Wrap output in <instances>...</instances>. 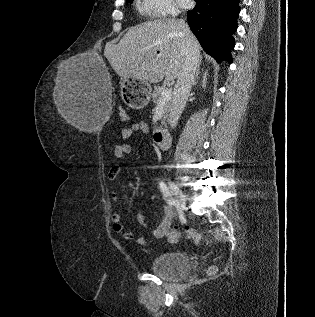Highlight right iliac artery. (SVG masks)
I'll return each instance as SVG.
<instances>
[{
	"instance_id": "obj_1",
	"label": "right iliac artery",
	"mask_w": 315,
	"mask_h": 317,
	"mask_svg": "<svg viewBox=\"0 0 315 317\" xmlns=\"http://www.w3.org/2000/svg\"><path fill=\"white\" fill-rule=\"evenodd\" d=\"M159 188H160V191L162 192L163 197H164V199L166 200V202H167L171 207H173V206L175 205V199L171 196V193H170L168 187L166 186V184L163 183V182H160V183H159Z\"/></svg>"
}]
</instances>
